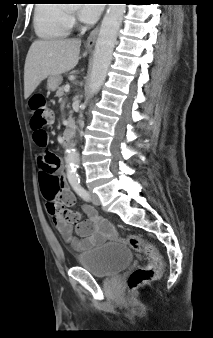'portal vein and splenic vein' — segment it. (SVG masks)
Instances as JSON below:
<instances>
[{
    "label": "portal vein and splenic vein",
    "instance_id": "obj_1",
    "mask_svg": "<svg viewBox=\"0 0 213 338\" xmlns=\"http://www.w3.org/2000/svg\"><path fill=\"white\" fill-rule=\"evenodd\" d=\"M64 90H65V92H69L70 86H69V85H66V86L64 87Z\"/></svg>",
    "mask_w": 213,
    "mask_h": 338
}]
</instances>
